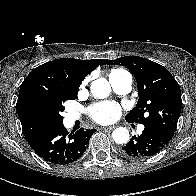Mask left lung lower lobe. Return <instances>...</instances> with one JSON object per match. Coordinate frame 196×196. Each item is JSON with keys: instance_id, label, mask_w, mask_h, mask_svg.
<instances>
[{"instance_id": "0a47b994", "label": "left lung lower lobe", "mask_w": 196, "mask_h": 196, "mask_svg": "<svg viewBox=\"0 0 196 196\" xmlns=\"http://www.w3.org/2000/svg\"><path fill=\"white\" fill-rule=\"evenodd\" d=\"M142 134L133 138L122 147V153L125 156L134 158H146L157 154L171 140L172 137L167 136L158 127L146 124Z\"/></svg>"}]
</instances>
